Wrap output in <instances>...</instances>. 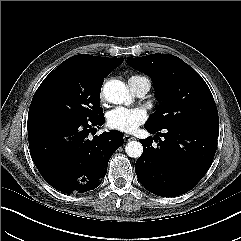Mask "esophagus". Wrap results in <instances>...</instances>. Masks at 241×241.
Wrapping results in <instances>:
<instances>
[{
	"instance_id": "34e87169",
	"label": "esophagus",
	"mask_w": 241,
	"mask_h": 241,
	"mask_svg": "<svg viewBox=\"0 0 241 241\" xmlns=\"http://www.w3.org/2000/svg\"><path fill=\"white\" fill-rule=\"evenodd\" d=\"M123 139H124L125 142H128V141L134 140L135 137H133V136H131V135L125 134V135L123 136Z\"/></svg>"
}]
</instances>
